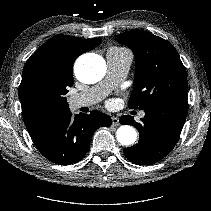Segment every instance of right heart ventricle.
Returning <instances> with one entry per match:
<instances>
[{
    "label": "right heart ventricle",
    "mask_w": 211,
    "mask_h": 211,
    "mask_svg": "<svg viewBox=\"0 0 211 211\" xmlns=\"http://www.w3.org/2000/svg\"><path fill=\"white\" fill-rule=\"evenodd\" d=\"M114 49H119V50H123V49H121V48H114Z\"/></svg>",
    "instance_id": "e07e8e85"
}]
</instances>
